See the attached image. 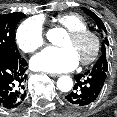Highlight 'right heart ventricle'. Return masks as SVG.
<instances>
[{"label": "right heart ventricle", "mask_w": 117, "mask_h": 117, "mask_svg": "<svg viewBox=\"0 0 117 117\" xmlns=\"http://www.w3.org/2000/svg\"><path fill=\"white\" fill-rule=\"evenodd\" d=\"M55 19L58 24L69 32L88 29V22L77 13L60 14Z\"/></svg>", "instance_id": "1"}]
</instances>
